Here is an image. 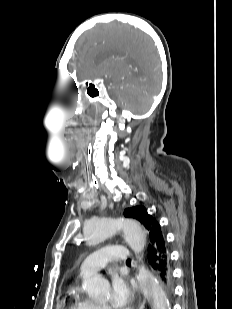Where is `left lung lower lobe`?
<instances>
[{
    "label": "left lung lower lobe",
    "mask_w": 232,
    "mask_h": 309,
    "mask_svg": "<svg viewBox=\"0 0 232 309\" xmlns=\"http://www.w3.org/2000/svg\"><path fill=\"white\" fill-rule=\"evenodd\" d=\"M147 259L149 265L157 273L166 290L170 291L172 287L170 253L166 246L165 237L159 223L154 226L152 233L149 236Z\"/></svg>",
    "instance_id": "left-lung-lower-lobe-1"
}]
</instances>
